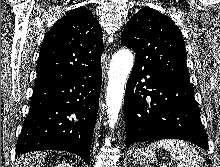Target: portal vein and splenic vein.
<instances>
[{"mask_svg": "<svg viewBox=\"0 0 220 167\" xmlns=\"http://www.w3.org/2000/svg\"><path fill=\"white\" fill-rule=\"evenodd\" d=\"M161 167H167L166 165H163V166H161Z\"/></svg>", "mask_w": 220, "mask_h": 167, "instance_id": "obj_1", "label": "portal vein and splenic vein"}]
</instances>
